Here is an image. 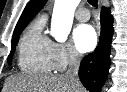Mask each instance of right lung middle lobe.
Here are the masks:
<instances>
[{"instance_id":"right-lung-middle-lobe-1","label":"right lung middle lobe","mask_w":127,"mask_h":92,"mask_svg":"<svg viewBox=\"0 0 127 92\" xmlns=\"http://www.w3.org/2000/svg\"><path fill=\"white\" fill-rule=\"evenodd\" d=\"M23 29L24 28H22V29H20V30H18L16 32H14V34H13L12 43H11L12 48H11V52H10V54L8 56V63H9V65H11V63H12V57H13V54H14V50H15V47H16V43L18 42L19 35L23 31Z\"/></svg>"}]
</instances>
